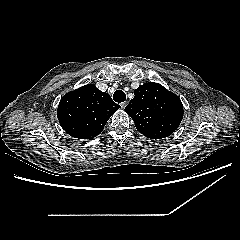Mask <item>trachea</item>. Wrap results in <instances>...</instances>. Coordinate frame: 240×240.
I'll return each mask as SVG.
<instances>
[{
	"label": "trachea",
	"instance_id": "3493384b",
	"mask_svg": "<svg viewBox=\"0 0 240 240\" xmlns=\"http://www.w3.org/2000/svg\"><path fill=\"white\" fill-rule=\"evenodd\" d=\"M113 99L115 102H118V103L124 102L126 100V94L122 90H117L113 94Z\"/></svg>",
	"mask_w": 240,
	"mask_h": 240
}]
</instances>
